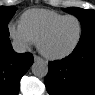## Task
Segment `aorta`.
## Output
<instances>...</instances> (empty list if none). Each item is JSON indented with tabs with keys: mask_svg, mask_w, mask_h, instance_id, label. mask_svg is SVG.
<instances>
[{
	"mask_svg": "<svg viewBox=\"0 0 95 95\" xmlns=\"http://www.w3.org/2000/svg\"><path fill=\"white\" fill-rule=\"evenodd\" d=\"M31 70L34 76L45 77L48 74V64L43 60H37L32 64Z\"/></svg>",
	"mask_w": 95,
	"mask_h": 95,
	"instance_id": "aorta-1",
	"label": "aorta"
}]
</instances>
